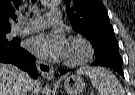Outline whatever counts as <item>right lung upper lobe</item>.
<instances>
[{
    "mask_svg": "<svg viewBox=\"0 0 135 95\" xmlns=\"http://www.w3.org/2000/svg\"><path fill=\"white\" fill-rule=\"evenodd\" d=\"M21 0H0V30H11L9 18L19 9Z\"/></svg>",
    "mask_w": 135,
    "mask_h": 95,
    "instance_id": "right-lung-upper-lobe-1",
    "label": "right lung upper lobe"
}]
</instances>
